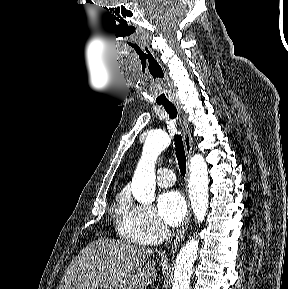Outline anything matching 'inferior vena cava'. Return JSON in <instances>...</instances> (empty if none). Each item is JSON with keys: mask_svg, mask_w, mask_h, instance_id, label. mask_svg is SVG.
Listing matches in <instances>:
<instances>
[{"mask_svg": "<svg viewBox=\"0 0 288 289\" xmlns=\"http://www.w3.org/2000/svg\"><path fill=\"white\" fill-rule=\"evenodd\" d=\"M171 236V232L169 229H164L163 230V238L168 239Z\"/></svg>", "mask_w": 288, "mask_h": 289, "instance_id": "602c4592", "label": "inferior vena cava"}]
</instances>
